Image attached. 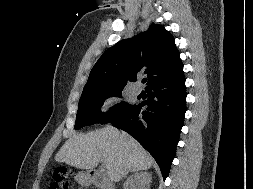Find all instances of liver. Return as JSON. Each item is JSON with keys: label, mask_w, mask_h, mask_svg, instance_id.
I'll return each mask as SVG.
<instances>
[{"label": "liver", "mask_w": 253, "mask_h": 189, "mask_svg": "<svg viewBox=\"0 0 253 189\" xmlns=\"http://www.w3.org/2000/svg\"><path fill=\"white\" fill-rule=\"evenodd\" d=\"M55 160L86 170L102 162L111 182L120 181L130 171L147 170L154 162L133 137L113 127L73 135L60 148Z\"/></svg>", "instance_id": "6515ba94"}]
</instances>
